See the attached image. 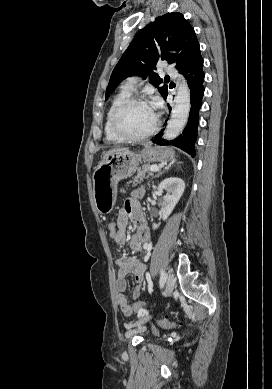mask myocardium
I'll list each match as a JSON object with an SVG mask.
<instances>
[{"label":"myocardium","mask_w":272,"mask_h":389,"mask_svg":"<svg viewBox=\"0 0 272 389\" xmlns=\"http://www.w3.org/2000/svg\"><path fill=\"white\" fill-rule=\"evenodd\" d=\"M135 104H147L148 105V102L141 97L130 96L129 98H127L125 101H123L118 106V108L115 110V112L113 114V118H112L113 131L119 138H121L124 141H141V140L147 139L150 136H152L158 129L159 119H158V116L156 114H155V120H154L152 127L147 132H145L143 134L132 135V134L125 132L122 129L121 118H122L124 112L129 107H131L132 105H135Z\"/></svg>","instance_id":"1"}]
</instances>
